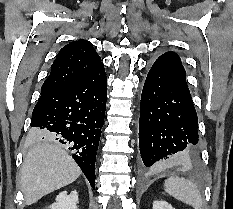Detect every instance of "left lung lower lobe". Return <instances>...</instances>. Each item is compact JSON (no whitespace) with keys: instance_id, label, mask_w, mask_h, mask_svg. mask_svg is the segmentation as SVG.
Here are the masks:
<instances>
[{"instance_id":"obj_1","label":"left lung lower lobe","mask_w":233,"mask_h":209,"mask_svg":"<svg viewBox=\"0 0 233 209\" xmlns=\"http://www.w3.org/2000/svg\"><path fill=\"white\" fill-rule=\"evenodd\" d=\"M179 56L166 52L152 65L140 106L139 147L148 170L198 161L197 113Z\"/></svg>"}]
</instances>
